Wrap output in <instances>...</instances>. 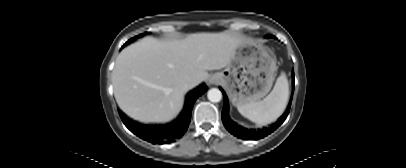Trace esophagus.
Masks as SVG:
<instances>
[{"label":"esophagus","instance_id":"obj_1","mask_svg":"<svg viewBox=\"0 0 406 168\" xmlns=\"http://www.w3.org/2000/svg\"><path fill=\"white\" fill-rule=\"evenodd\" d=\"M209 83H210V84H215L216 81H215L214 79H210V80H209Z\"/></svg>","mask_w":406,"mask_h":168}]
</instances>
